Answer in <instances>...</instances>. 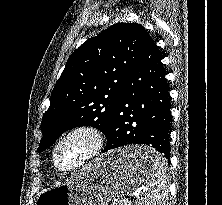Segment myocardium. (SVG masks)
Returning <instances> with one entry per match:
<instances>
[{"label":"myocardium","instance_id":"f54148a6","mask_svg":"<svg viewBox=\"0 0 222 205\" xmlns=\"http://www.w3.org/2000/svg\"><path fill=\"white\" fill-rule=\"evenodd\" d=\"M83 134L87 135L92 140V145L89 149V151L74 165L70 167H62L58 164L57 161V151L60 145L65 142L67 139L71 138L72 136ZM104 135L102 131L97 128L96 126L89 125V124H81L74 126L70 128L68 131H66L55 143L53 149H52V161L54 166L60 171V172H72L77 169L82 168L89 162H91L94 158H96L99 153L101 152L103 146H104Z\"/></svg>","mask_w":222,"mask_h":205}]
</instances>
